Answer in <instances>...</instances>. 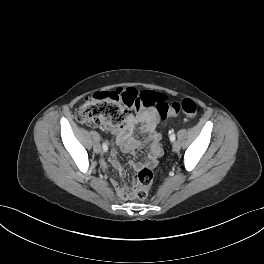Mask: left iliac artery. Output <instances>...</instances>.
Returning a JSON list of instances; mask_svg holds the SVG:
<instances>
[{
    "label": "left iliac artery",
    "instance_id": "44dca946",
    "mask_svg": "<svg viewBox=\"0 0 264 264\" xmlns=\"http://www.w3.org/2000/svg\"><path fill=\"white\" fill-rule=\"evenodd\" d=\"M175 139H176L175 134H174V133L171 134V135H170V140L173 142Z\"/></svg>",
    "mask_w": 264,
    "mask_h": 264
}]
</instances>
